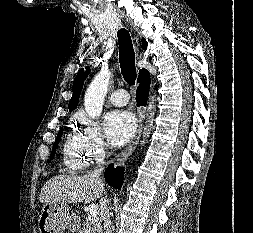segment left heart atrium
I'll use <instances>...</instances> for the list:
<instances>
[{
	"label": "left heart atrium",
	"instance_id": "39dd6f15",
	"mask_svg": "<svg viewBox=\"0 0 253 233\" xmlns=\"http://www.w3.org/2000/svg\"><path fill=\"white\" fill-rule=\"evenodd\" d=\"M105 130L113 145H124L131 139L135 131V119L127 111L110 112L105 118Z\"/></svg>",
	"mask_w": 253,
	"mask_h": 233
}]
</instances>
